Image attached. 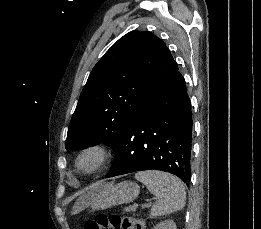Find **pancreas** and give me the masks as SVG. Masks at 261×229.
Segmentation results:
<instances>
[{"label":"pancreas","mask_w":261,"mask_h":229,"mask_svg":"<svg viewBox=\"0 0 261 229\" xmlns=\"http://www.w3.org/2000/svg\"><path fill=\"white\" fill-rule=\"evenodd\" d=\"M131 211H135V208H134V207H132Z\"/></svg>","instance_id":"obj_1"}]
</instances>
